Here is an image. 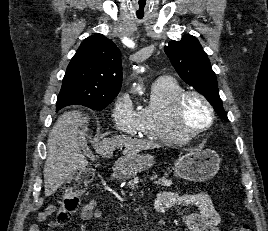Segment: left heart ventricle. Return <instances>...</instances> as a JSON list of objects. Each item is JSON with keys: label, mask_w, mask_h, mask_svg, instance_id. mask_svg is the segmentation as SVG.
<instances>
[{"label": "left heart ventricle", "mask_w": 268, "mask_h": 231, "mask_svg": "<svg viewBox=\"0 0 268 231\" xmlns=\"http://www.w3.org/2000/svg\"><path fill=\"white\" fill-rule=\"evenodd\" d=\"M210 121V112L206 105L195 97L185 101L181 124L186 130H195Z\"/></svg>", "instance_id": "b2bd125f"}]
</instances>
